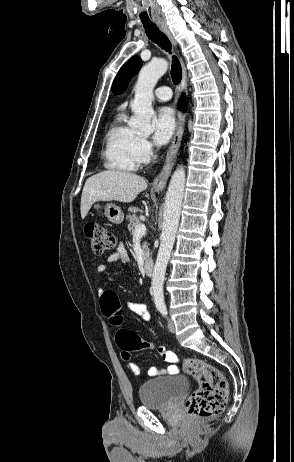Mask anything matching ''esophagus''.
<instances>
[{
  "label": "esophagus",
  "mask_w": 294,
  "mask_h": 462,
  "mask_svg": "<svg viewBox=\"0 0 294 462\" xmlns=\"http://www.w3.org/2000/svg\"><path fill=\"white\" fill-rule=\"evenodd\" d=\"M157 24L160 30L164 34H166V36L170 39V41L176 46L177 45L176 40L174 39L167 25L164 22H157ZM186 86H187V72H186L185 63L182 61V80L180 84L181 91H184L186 89ZM183 132H184V116L182 112H179L177 130L173 137L171 146L169 147V150L167 152L164 165L162 167L161 172L156 176V178L153 181V188L156 191H162L166 186L168 177L173 167L174 158L177 155V152L180 147Z\"/></svg>",
  "instance_id": "esophagus-1"
}]
</instances>
